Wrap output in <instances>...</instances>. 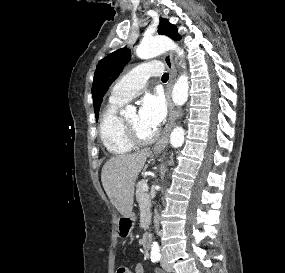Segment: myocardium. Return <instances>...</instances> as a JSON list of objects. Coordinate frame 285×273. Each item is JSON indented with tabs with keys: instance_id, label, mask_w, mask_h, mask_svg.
I'll return each mask as SVG.
<instances>
[{
	"instance_id": "myocardium-1",
	"label": "myocardium",
	"mask_w": 285,
	"mask_h": 273,
	"mask_svg": "<svg viewBox=\"0 0 285 273\" xmlns=\"http://www.w3.org/2000/svg\"><path fill=\"white\" fill-rule=\"evenodd\" d=\"M121 125L125 136L128 138L130 142L135 145H147L153 143L159 137V131H155V133L149 137L141 136L138 131L130 126L125 119H121Z\"/></svg>"
}]
</instances>
